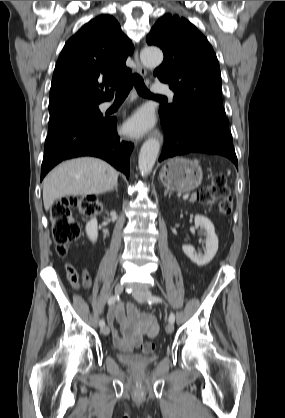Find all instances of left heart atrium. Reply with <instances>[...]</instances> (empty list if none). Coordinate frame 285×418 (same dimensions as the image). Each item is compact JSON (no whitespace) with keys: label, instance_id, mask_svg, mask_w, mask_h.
<instances>
[{"label":"left heart atrium","instance_id":"obj_1","mask_svg":"<svg viewBox=\"0 0 285 418\" xmlns=\"http://www.w3.org/2000/svg\"><path fill=\"white\" fill-rule=\"evenodd\" d=\"M154 126V116L148 108L136 110L124 124L126 134L132 137H141Z\"/></svg>","mask_w":285,"mask_h":418}]
</instances>
